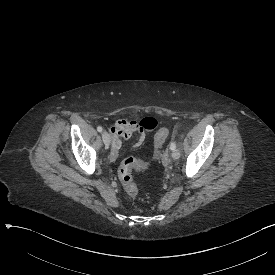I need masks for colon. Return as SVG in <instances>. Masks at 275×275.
<instances>
[{
	"label": "colon",
	"mask_w": 275,
	"mask_h": 275,
	"mask_svg": "<svg viewBox=\"0 0 275 275\" xmlns=\"http://www.w3.org/2000/svg\"><path fill=\"white\" fill-rule=\"evenodd\" d=\"M169 132L167 127H162L156 132L152 155L147 161L128 157L120 165L118 179L128 196L135 197L138 194V187L133 178L134 171H149L156 168L159 164L163 155V142L167 140Z\"/></svg>",
	"instance_id": "1"
}]
</instances>
